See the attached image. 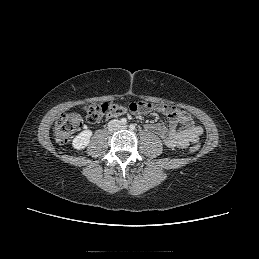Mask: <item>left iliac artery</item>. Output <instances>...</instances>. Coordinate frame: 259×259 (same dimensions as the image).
Returning <instances> with one entry per match:
<instances>
[{
  "label": "left iliac artery",
  "instance_id": "44dca946",
  "mask_svg": "<svg viewBox=\"0 0 259 259\" xmlns=\"http://www.w3.org/2000/svg\"><path fill=\"white\" fill-rule=\"evenodd\" d=\"M129 127L131 130H135V128H136L134 124H131Z\"/></svg>",
  "mask_w": 259,
  "mask_h": 259
}]
</instances>
